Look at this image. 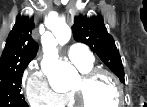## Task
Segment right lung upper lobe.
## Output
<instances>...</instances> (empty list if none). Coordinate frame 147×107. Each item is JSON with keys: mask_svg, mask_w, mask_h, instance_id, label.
<instances>
[{"mask_svg": "<svg viewBox=\"0 0 147 107\" xmlns=\"http://www.w3.org/2000/svg\"><path fill=\"white\" fill-rule=\"evenodd\" d=\"M33 28V19H16L0 58V75L24 68L35 58L38 44L31 37Z\"/></svg>", "mask_w": 147, "mask_h": 107, "instance_id": "obj_1", "label": "right lung upper lobe"}]
</instances>
